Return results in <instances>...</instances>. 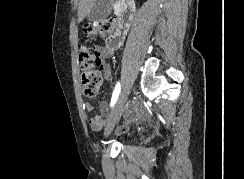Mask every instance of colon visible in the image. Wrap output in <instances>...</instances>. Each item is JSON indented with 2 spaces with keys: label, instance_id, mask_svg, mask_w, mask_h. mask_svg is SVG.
Segmentation results:
<instances>
[{
  "label": "colon",
  "instance_id": "1",
  "mask_svg": "<svg viewBox=\"0 0 244 179\" xmlns=\"http://www.w3.org/2000/svg\"><path fill=\"white\" fill-rule=\"evenodd\" d=\"M114 27V22L111 20H101L97 23L86 24L83 28L87 36H101L109 33ZM81 72V84L83 94L89 98L97 96L102 83L103 72L97 61V55L88 47L81 49L79 53ZM92 120L91 125L95 123Z\"/></svg>",
  "mask_w": 244,
  "mask_h": 179
}]
</instances>
